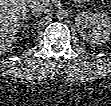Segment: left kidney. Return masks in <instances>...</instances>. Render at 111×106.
Returning <instances> with one entry per match:
<instances>
[{
	"label": "left kidney",
	"instance_id": "left-kidney-1",
	"mask_svg": "<svg viewBox=\"0 0 111 106\" xmlns=\"http://www.w3.org/2000/svg\"><path fill=\"white\" fill-rule=\"evenodd\" d=\"M75 24L84 40L92 44L106 43L111 36V19L101 12H81Z\"/></svg>",
	"mask_w": 111,
	"mask_h": 106
}]
</instances>
